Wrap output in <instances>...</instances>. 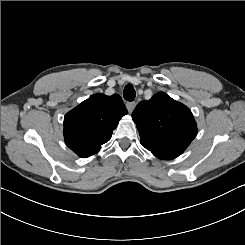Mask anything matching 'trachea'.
I'll return each instance as SVG.
<instances>
[{"instance_id": "1", "label": "trachea", "mask_w": 245, "mask_h": 245, "mask_svg": "<svg viewBox=\"0 0 245 245\" xmlns=\"http://www.w3.org/2000/svg\"><path fill=\"white\" fill-rule=\"evenodd\" d=\"M123 96L127 101H133L136 96V92L132 84H127L123 90Z\"/></svg>"}]
</instances>
